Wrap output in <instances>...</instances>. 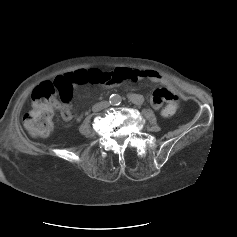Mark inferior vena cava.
Segmentation results:
<instances>
[{
	"label": "inferior vena cava",
	"instance_id": "1",
	"mask_svg": "<svg viewBox=\"0 0 237 237\" xmlns=\"http://www.w3.org/2000/svg\"><path fill=\"white\" fill-rule=\"evenodd\" d=\"M107 106H108V102L104 101V102H99V103L95 104L92 109L94 111H98L103 108H106Z\"/></svg>",
	"mask_w": 237,
	"mask_h": 237
}]
</instances>
